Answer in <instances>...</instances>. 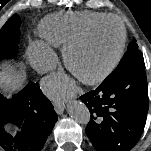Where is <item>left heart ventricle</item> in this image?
Listing matches in <instances>:
<instances>
[{
  "instance_id": "obj_1",
  "label": "left heart ventricle",
  "mask_w": 151,
  "mask_h": 151,
  "mask_svg": "<svg viewBox=\"0 0 151 151\" xmlns=\"http://www.w3.org/2000/svg\"><path fill=\"white\" fill-rule=\"evenodd\" d=\"M120 42V29L115 22L99 25L87 40L72 53V64L82 77L92 76L114 59Z\"/></svg>"
}]
</instances>
